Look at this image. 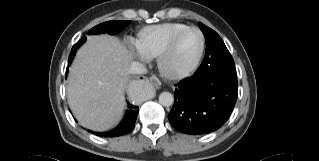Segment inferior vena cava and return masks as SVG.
<instances>
[{"label":"inferior vena cava","instance_id":"602c4592","mask_svg":"<svg viewBox=\"0 0 319 161\" xmlns=\"http://www.w3.org/2000/svg\"><path fill=\"white\" fill-rule=\"evenodd\" d=\"M130 74H145L147 72L145 66L139 62H132L129 66Z\"/></svg>","mask_w":319,"mask_h":161}]
</instances>
